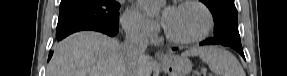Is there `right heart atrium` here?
<instances>
[{
	"label": "right heart atrium",
	"mask_w": 287,
	"mask_h": 76,
	"mask_svg": "<svg viewBox=\"0 0 287 76\" xmlns=\"http://www.w3.org/2000/svg\"><path fill=\"white\" fill-rule=\"evenodd\" d=\"M126 31L139 38H151L158 32V25L135 8H128L122 18Z\"/></svg>",
	"instance_id": "obj_1"
}]
</instances>
